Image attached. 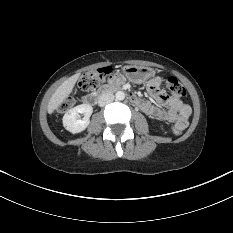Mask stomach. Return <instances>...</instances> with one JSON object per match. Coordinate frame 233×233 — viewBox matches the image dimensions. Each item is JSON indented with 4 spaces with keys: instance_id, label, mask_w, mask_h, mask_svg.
<instances>
[{
    "instance_id": "1",
    "label": "stomach",
    "mask_w": 233,
    "mask_h": 233,
    "mask_svg": "<svg viewBox=\"0 0 233 233\" xmlns=\"http://www.w3.org/2000/svg\"><path fill=\"white\" fill-rule=\"evenodd\" d=\"M126 78L134 83H142L155 75V70L149 67L127 65L122 68Z\"/></svg>"
}]
</instances>
